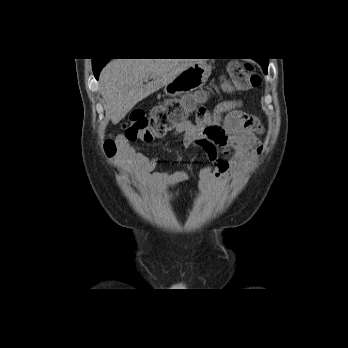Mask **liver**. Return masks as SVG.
Masks as SVG:
<instances>
[{
	"label": "liver",
	"instance_id": "liver-1",
	"mask_svg": "<svg viewBox=\"0 0 348 348\" xmlns=\"http://www.w3.org/2000/svg\"><path fill=\"white\" fill-rule=\"evenodd\" d=\"M197 62V59L111 60L99 76L106 115L113 124H118L139 101Z\"/></svg>",
	"mask_w": 348,
	"mask_h": 348
}]
</instances>
